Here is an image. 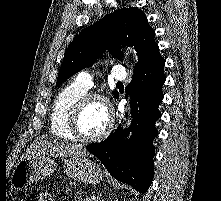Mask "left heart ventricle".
I'll list each match as a JSON object with an SVG mask.
<instances>
[{"mask_svg": "<svg viewBox=\"0 0 221 201\" xmlns=\"http://www.w3.org/2000/svg\"><path fill=\"white\" fill-rule=\"evenodd\" d=\"M108 124L106 107L100 101H91L85 107L79 122L83 135L94 136L105 129Z\"/></svg>", "mask_w": 221, "mask_h": 201, "instance_id": "1", "label": "left heart ventricle"}]
</instances>
